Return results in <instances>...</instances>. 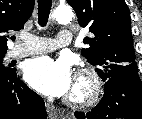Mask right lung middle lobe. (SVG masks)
<instances>
[{
  "label": "right lung middle lobe",
  "mask_w": 142,
  "mask_h": 119,
  "mask_svg": "<svg viewBox=\"0 0 142 119\" xmlns=\"http://www.w3.org/2000/svg\"><path fill=\"white\" fill-rule=\"evenodd\" d=\"M6 52L0 53V75H6L9 72L13 71V68L5 67L3 64V58L5 57Z\"/></svg>",
  "instance_id": "dd1d6c3e"
}]
</instances>
